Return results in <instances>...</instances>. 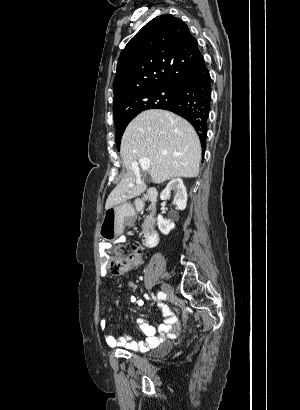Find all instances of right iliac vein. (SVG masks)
<instances>
[{
	"mask_svg": "<svg viewBox=\"0 0 300 410\" xmlns=\"http://www.w3.org/2000/svg\"><path fill=\"white\" fill-rule=\"evenodd\" d=\"M162 291L167 295V296H171L173 294V289L170 285L164 283L162 285Z\"/></svg>",
	"mask_w": 300,
	"mask_h": 410,
	"instance_id": "obj_1",
	"label": "right iliac vein"
}]
</instances>
